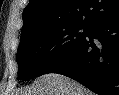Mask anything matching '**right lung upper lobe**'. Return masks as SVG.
Returning <instances> with one entry per match:
<instances>
[{
	"label": "right lung upper lobe",
	"mask_w": 119,
	"mask_h": 95,
	"mask_svg": "<svg viewBox=\"0 0 119 95\" xmlns=\"http://www.w3.org/2000/svg\"><path fill=\"white\" fill-rule=\"evenodd\" d=\"M118 15L119 0H30L23 12L21 37L45 25L92 27Z\"/></svg>",
	"instance_id": "obj_1"
}]
</instances>
